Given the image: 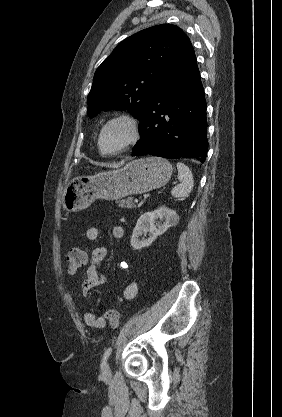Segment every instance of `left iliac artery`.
Listing matches in <instances>:
<instances>
[{
    "label": "left iliac artery",
    "instance_id": "44dca946",
    "mask_svg": "<svg viewBox=\"0 0 282 417\" xmlns=\"http://www.w3.org/2000/svg\"><path fill=\"white\" fill-rule=\"evenodd\" d=\"M111 352H112V347H109V348H108V349L104 352L103 359H102V363H103V364L107 361V359L109 358V356H110Z\"/></svg>",
    "mask_w": 282,
    "mask_h": 417
}]
</instances>
